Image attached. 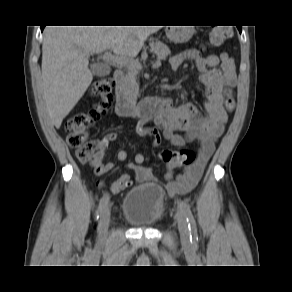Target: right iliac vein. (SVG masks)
Segmentation results:
<instances>
[{
  "label": "right iliac vein",
  "mask_w": 292,
  "mask_h": 292,
  "mask_svg": "<svg viewBox=\"0 0 292 292\" xmlns=\"http://www.w3.org/2000/svg\"><path fill=\"white\" fill-rule=\"evenodd\" d=\"M110 214H111L110 206L106 205L105 208L102 210L101 215H100L99 237L105 236L107 231H108Z\"/></svg>",
  "instance_id": "1"
}]
</instances>
